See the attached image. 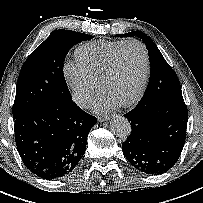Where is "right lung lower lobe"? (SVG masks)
Instances as JSON below:
<instances>
[{"label":"right lung lower lobe","instance_id":"98d812e1","mask_svg":"<svg viewBox=\"0 0 203 203\" xmlns=\"http://www.w3.org/2000/svg\"><path fill=\"white\" fill-rule=\"evenodd\" d=\"M96 117L72 100L51 103L15 119L20 157L33 174L46 180L69 174L84 155Z\"/></svg>","mask_w":203,"mask_h":203}]
</instances>
